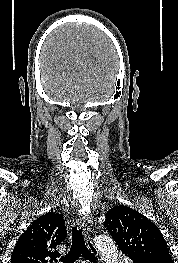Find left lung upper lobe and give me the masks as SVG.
<instances>
[{
    "label": "left lung upper lobe",
    "instance_id": "5c2ea615",
    "mask_svg": "<svg viewBox=\"0 0 178 263\" xmlns=\"http://www.w3.org/2000/svg\"><path fill=\"white\" fill-rule=\"evenodd\" d=\"M104 226L133 263L148 260L174 263L160 230L138 211L124 205L115 206L106 214Z\"/></svg>",
    "mask_w": 178,
    "mask_h": 263
}]
</instances>
